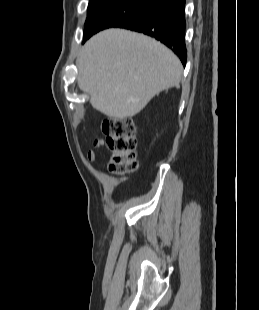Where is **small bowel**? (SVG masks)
<instances>
[{
  "mask_svg": "<svg viewBox=\"0 0 259 310\" xmlns=\"http://www.w3.org/2000/svg\"><path fill=\"white\" fill-rule=\"evenodd\" d=\"M103 144H104V141H103L102 138L97 137V138L94 139V141H93V148L88 150V152H87V159L90 162L96 161V159H97V149L102 147Z\"/></svg>",
  "mask_w": 259,
  "mask_h": 310,
  "instance_id": "c3829d8e",
  "label": "small bowel"
}]
</instances>
